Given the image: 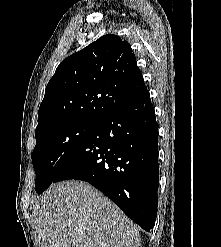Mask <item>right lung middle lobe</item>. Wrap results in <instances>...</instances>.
<instances>
[{"label":"right lung middle lobe","instance_id":"dd1d6c3e","mask_svg":"<svg viewBox=\"0 0 221 247\" xmlns=\"http://www.w3.org/2000/svg\"><path fill=\"white\" fill-rule=\"evenodd\" d=\"M97 123L70 122L35 135L32 153L36 173L35 191L41 194L54 181L63 166L91 136Z\"/></svg>","mask_w":221,"mask_h":247}]
</instances>
